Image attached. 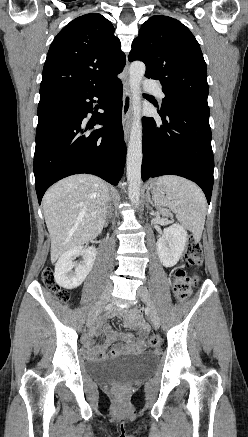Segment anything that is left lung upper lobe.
I'll list each match as a JSON object with an SVG mask.
<instances>
[{"mask_svg":"<svg viewBox=\"0 0 248 437\" xmlns=\"http://www.w3.org/2000/svg\"><path fill=\"white\" fill-rule=\"evenodd\" d=\"M141 60L145 76L161 82V112L178 105L208 106L207 68L199 43L180 21L152 16L132 43L129 61Z\"/></svg>","mask_w":248,"mask_h":437,"instance_id":"obj_1","label":"left lung upper lobe"}]
</instances>
